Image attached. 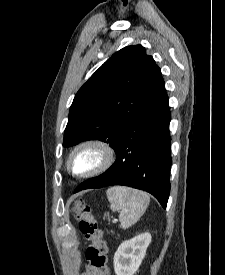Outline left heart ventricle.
<instances>
[{"label": "left heart ventricle", "instance_id": "b2bd125f", "mask_svg": "<svg viewBox=\"0 0 225 275\" xmlns=\"http://www.w3.org/2000/svg\"><path fill=\"white\" fill-rule=\"evenodd\" d=\"M97 155L94 152L84 151L78 154L72 162V168L76 172L84 171L92 166H94L97 162Z\"/></svg>", "mask_w": 225, "mask_h": 275}]
</instances>
